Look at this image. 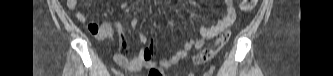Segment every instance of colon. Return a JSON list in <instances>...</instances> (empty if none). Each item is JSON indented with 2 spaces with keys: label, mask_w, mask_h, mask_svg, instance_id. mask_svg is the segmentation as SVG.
<instances>
[{
  "label": "colon",
  "mask_w": 333,
  "mask_h": 76,
  "mask_svg": "<svg viewBox=\"0 0 333 76\" xmlns=\"http://www.w3.org/2000/svg\"><path fill=\"white\" fill-rule=\"evenodd\" d=\"M257 0H242L240 1V9L243 11H249L255 7ZM230 39V32L225 31L215 41L211 48H208L194 57L196 63H205L214 58L216 53L228 42Z\"/></svg>",
  "instance_id": "obj_1"
}]
</instances>
